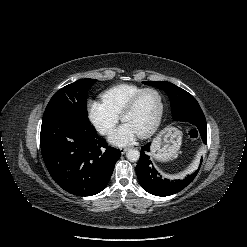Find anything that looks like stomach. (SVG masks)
<instances>
[{"mask_svg":"<svg viewBox=\"0 0 247 247\" xmlns=\"http://www.w3.org/2000/svg\"><path fill=\"white\" fill-rule=\"evenodd\" d=\"M182 132L175 127L163 129L153 140L151 155L159 161L174 158L181 146Z\"/></svg>","mask_w":247,"mask_h":247,"instance_id":"1","label":"stomach"}]
</instances>
